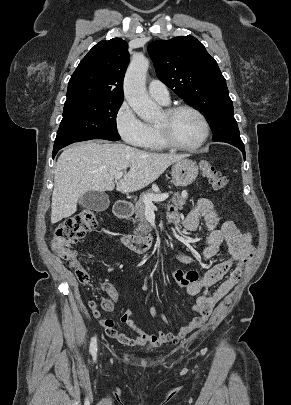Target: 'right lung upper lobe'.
<instances>
[{
  "instance_id": "obj_1",
  "label": "right lung upper lobe",
  "mask_w": 291,
  "mask_h": 405,
  "mask_svg": "<svg viewBox=\"0 0 291 405\" xmlns=\"http://www.w3.org/2000/svg\"><path fill=\"white\" fill-rule=\"evenodd\" d=\"M129 64L128 44L121 38L97 43L71 76L66 103L86 100H122Z\"/></svg>"
}]
</instances>
